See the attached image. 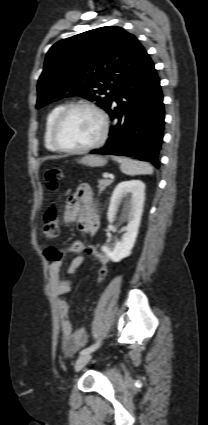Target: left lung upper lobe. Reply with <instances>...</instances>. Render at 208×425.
I'll return each mask as SVG.
<instances>
[{"label":"left lung upper lobe","mask_w":208,"mask_h":425,"mask_svg":"<svg viewBox=\"0 0 208 425\" xmlns=\"http://www.w3.org/2000/svg\"><path fill=\"white\" fill-rule=\"evenodd\" d=\"M146 55L137 38L120 27H101L63 39L46 55L36 108L81 96L106 110L117 88L136 72Z\"/></svg>","instance_id":"1"}]
</instances>
